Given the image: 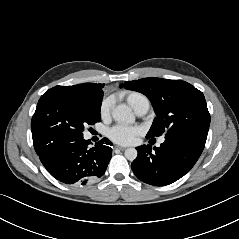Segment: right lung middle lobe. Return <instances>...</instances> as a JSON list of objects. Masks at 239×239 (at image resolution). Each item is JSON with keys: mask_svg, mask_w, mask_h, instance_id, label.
<instances>
[{"mask_svg": "<svg viewBox=\"0 0 239 239\" xmlns=\"http://www.w3.org/2000/svg\"><path fill=\"white\" fill-rule=\"evenodd\" d=\"M103 93L96 95L70 86H56L43 94L32 117L35 151L68 134L83 135L87 125L101 121Z\"/></svg>", "mask_w": 239, "mask_h": 239, "instance_id": "dd1d6c3e", "label": "right lung middle lobe"}]
</instances>
